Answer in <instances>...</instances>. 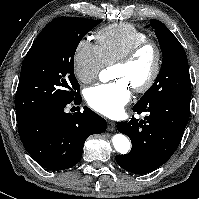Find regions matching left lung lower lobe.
Segmentation results:
<instances>
[{
  "mask_svg": "<svg viewBox=\"0 0 199 199\" xmlns=\"http://www.w3.org/2000/svg\"><path fill=\"white\" fill-rule=\"evenodd\" d=\"M133 111L149 112V116L117 123V130L130 138L132 149L117 155L116 161L131 173L145 174L167 162L178 148L189 120L190 99L171 98L146 108L134 106Z\"/></svg>",
  "mask_w": 199,
  "mask_h": 199,
  "instance_id": "1",
  "label": "left lung lower lobe"
}]
</instances>
